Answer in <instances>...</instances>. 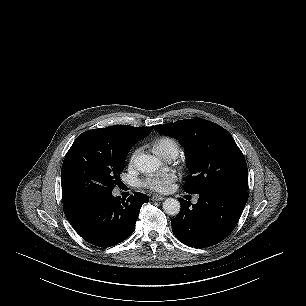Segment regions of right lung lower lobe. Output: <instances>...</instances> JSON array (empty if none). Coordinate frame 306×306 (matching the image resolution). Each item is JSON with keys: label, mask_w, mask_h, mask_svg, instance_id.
<instances>
[{"label": "right lung lower lobe", "mask_w": 306, "mask_h": 306, "mask_svg": "<svg viewBox=\"0 0 306 306\" xmlns=\"http://www.w3.org/2000/svg\"><path fill=\"white\" fill-rule=\"evenodd\" d=\"M146 195L136 192L126 202L111 193L87 198L64 206V213L74 230L87 242L99 246H114L127 239Z\"/></svg>", "instance_id": "obj_1"}]
</instances>
